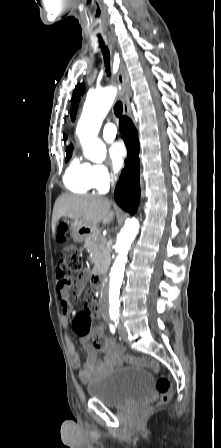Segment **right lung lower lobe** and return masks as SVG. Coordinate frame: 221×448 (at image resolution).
Segmentation results:
<instances>
[{
    "instance_id": "98d812e1",
    "label": "right lung lower lobe",
    "mask_w": 221,
    "mask_h": 448,
    "mask_svg": "<svg viewBox=\"0 0 221 448\" xmlns=\"http://www.w3.org/2000/svg\"><path fill=\"white\" fill-rule=\"evenodd\" d=\"M119 128L128 149V159L114 195L122 209L134 214L140 199L138 134L133 123L127 117L120 119Z\"/></svg>"
}]
</instances>
